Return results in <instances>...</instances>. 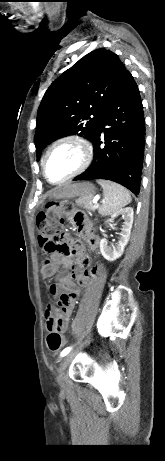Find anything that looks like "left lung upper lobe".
I'll return each instance as SVG.
<instances>
[{
    "instance_id": "obj_1",
    "label": "left lung upper lobe",
    "mask_w": 165,
    "mask_h": 461,
    "mask_svg": "<svg viewBox=\"0 0 165 461\" xmlns=\"http://www.w3.org/2000/svg\"><path fill=\"white\" fill-rule=\"evenodd\" d=\"M127 70L118 55L98 49L60 75L47 89L37 113V159L52 141L79 135L92 141Z\"/></svg>"
}]
</instances>
